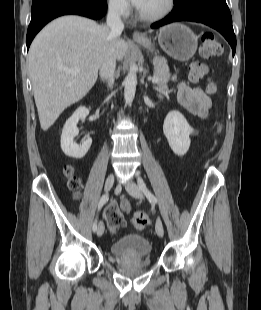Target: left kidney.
<instances>
[{
    "label": "left kidney",
    "instance_id": "obj_1",
    "mask_svg": "<svg viewBox=\"0 0 261 310\" xmlns=\"http://www.w3.org/2000/svg\"><path fill=\"white\" fill-rule=\"evenodd\" d=\"M163 132L169 146L177 156H183L190 147V134L194 132L179 111H171L164 120Z\"/></svg>",
    "mask_w": 261,
    "mask_h": 310
}]
</instances>
